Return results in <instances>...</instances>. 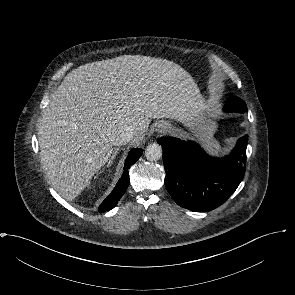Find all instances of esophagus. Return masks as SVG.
Wrapping results in <instances>:
<instances>
[{
    "label": "esophagus",
    "mask_w": 295,
    "mask_h": 295,
    "mask_svg": "<svg viewBox=\"0 0 295 295\" xmlns=\"http://www.w3.org/2000/svg\"><path fill=\"white\" fill-rule=\"evenodd\" d=\"M170 129L168 124H162L158 128V133H166Z\"/></svg>",
    "instance_id": "esophagus-1"
}]
</instances>
